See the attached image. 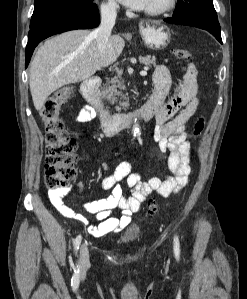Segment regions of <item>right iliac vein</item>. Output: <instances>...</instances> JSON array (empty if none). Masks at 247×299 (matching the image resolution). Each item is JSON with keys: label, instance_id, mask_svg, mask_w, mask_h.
<instances>
[{"label": "right iliac vein", "instance_id": "63e3f726", "mask_svg": "<svg viewBox=\"0 0 247 299\" xmlns=\"http://www.w3.org/2000/svg\"><path fill=\"white\" fill-rule=\"evenodd\" d=\"M79 260H80L82 268L84 269L89 262V251H88V247L86 244H82L80 247Z\"/></svg>", "mask_w": 247, "mask_h": 299}]
</instances>
